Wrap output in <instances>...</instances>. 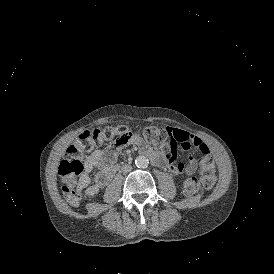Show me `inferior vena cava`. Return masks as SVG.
<instances>
[{
    "label": "inferior vena cava",
    "mask_w": 274,
    "mask_h": 274,
    "mask_svg": "<svg viewBox=\"0 0 274 274\" xmlns=\"http://www.w3.org/2000/svg\"><path fill=\"white\" fill-rule=\"evenodd\" d=\"M132 170V166L131 165H124L122 168L123 172H129Z\"/></svg>",
    "instance_id": "obj_1"
}]
</instances>
